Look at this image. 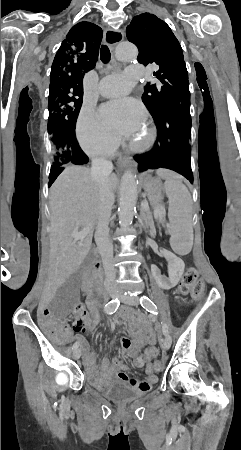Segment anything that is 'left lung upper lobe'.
Listing matches in <instances>:
<instances>
[{
    "instance_id": "left-lung-upper-lobe-1",
    "label": "left lung upper lobe",
    "mask_w": 241,
    "mask_h": 450,
    "mask_svg": "<svg viewBox=\"0 0 241 450\" xmlns=\"http://www.w3.org/2000/svg\"><path fill=\"white\" fill-rule=\"evenodd\" d=\"M130 42L139 50L138 62L156 63L153 73L161 84H147L142 101L154 120L167 109L190 100L189 81L182 48L169 26L151 13L135 16L126 28Z\"/></svg>"
}]
</instances>
